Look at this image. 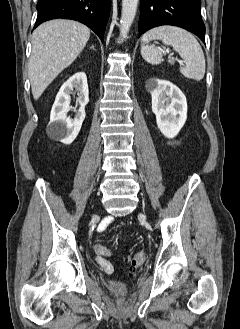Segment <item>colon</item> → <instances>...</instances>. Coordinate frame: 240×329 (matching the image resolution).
Listing matches in <instances>:
<instances>
[{"label":"colon","mask_w":240,"mask_h":329,"mask_svg":"<svg viewBox=\"0 0 240 329\" xmlns=\"http://www.w3.org/2000/svg\"><path fill=\"white\" fill-rule=\"evenodd\" d=\"M146 260V254L143 251H139L127 259V267L130 271H135ZM121 301V299H119Z\"/></svg>","instance_id":"obj_1"}]
</instances>
